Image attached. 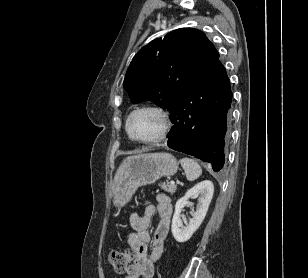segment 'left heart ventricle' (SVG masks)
Instances as JSON below:
<instances>
[{
  "label": "left heart ventricle",
  "mask_w": 308,
  "mask_h": 278,
  "mask_svg": "<svg viewBox=\"0 0 308 278\" xmlns=\"http://www.w3.org/2000/svg\"><path fill=\"white\" fill-rule=\"evenodd\" d=\"M130 128L135 136L150 139L159 134L162 128L160 116L150 110L137 112L131 119Z\"/></svg>",
  "instance_id": "obj_1"
}]
</instances>
